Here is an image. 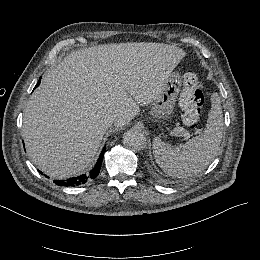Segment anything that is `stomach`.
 Here are the masks:
<instances>
[{
    "label": "stomach",
    "mask_w": 260,
    "mask_h": 260,
    "mask_svg": "<svg viewBox=\"0 0 260 260\" xmlns=\"http://www.w3.org/2000/svg\"><path fill=\"white\" fill-rule=\"evenodd\" d=\"M181 78L179 74H171L166 87L160 96L149 106L145 121L162 125L169 122L176 108V101L181 90Z\"/></svg>",
    "instance_id": "1"
}]
</instances>
